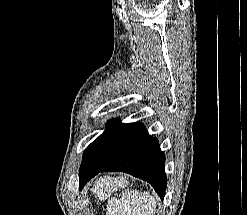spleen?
<instances>
[{
  "instance_id": "spleen-1",
  "label": "spleen",
  "mask_w": 247,
  "mask_h": 215,
  "mask_svg": "<svg viewBox=\"0 0 247 215\" xmlns=\"http://www.w3.org/2000/svg\"><path fill=\"white\" fill-rule=\"evenodd\" d=\"M98 187L95 188V192ZM156 200L149 191H126L121 200L111 198L107 204L108 215H154Z\"/></svg>"
}]
</instances>
